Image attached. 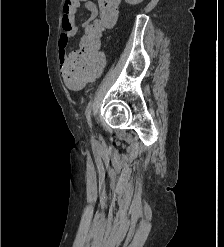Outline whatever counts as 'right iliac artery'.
<instances>
[{"label":"right iliac artery","mask_w":224,"mask_h":247,"mask_svg":"<svg viewBox=\"0 0 224 247\" xmlns=\"http://www.w3.org/2000/svg\"><path fill=\"white\" fill-rule=\"evenodd\" d=\"M91 107H92V102H89L87 109H86V117H87V121L90 127H92L91 124Z\"/></svg>","instance_id":"82829eb1"}]
</instances>
